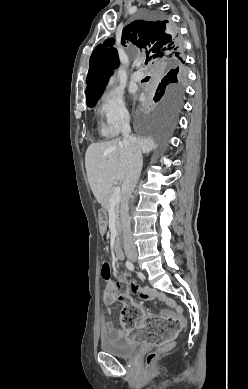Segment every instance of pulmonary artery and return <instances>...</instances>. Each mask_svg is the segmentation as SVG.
I'll return each instance as SVG.
<instances>
[{
    "label": "pulmonary artery",
    "instance_id": "pulmonary-artery-1",
    "mask_svg": "<svg viewBox=\"0 0 248 389\" xmlns=\"http://www.w3.org/2000/svg\"><path fill=\"white\" fill-rule=\"evenodd\" d=\"M142 77H143V74L141 72L137 71V72L133 73L132 80L135 82H138L142 79Z\"/></svg>",
    "mask_w": 248,
    "mask_h": 389
}]
</instances>
